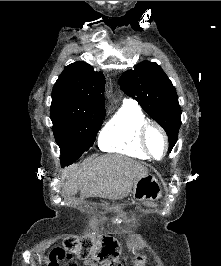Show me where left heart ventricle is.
I'll list each match as a JSON object with an SVG mask.
<instances>
[{"label": "left heart ventricle", "instance_id": "obj_1", "mask_svg": "<svg viewBox=\"0 0 221 266\" xmlns=\"http://www.w3.org/2000/svg\"><path fill=\"white\" fill-rule=\"evenodd\" d=\"M148 143L152 153L155 156H160L163 152V140L161 136L154 130L150 131Z\"/></svg>", "mask_w": 221, "mask_h": 266}]
</instances>
